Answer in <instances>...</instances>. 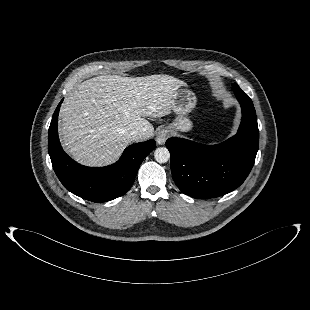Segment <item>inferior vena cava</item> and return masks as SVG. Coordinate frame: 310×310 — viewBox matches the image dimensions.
Returning <instances> with one entry per match:
<instances>
[{"label":"inferior vena cava","instance_id":"1","mask_svg":"<svg viewBox=\"0 0 310 310\" xmlns=\"http://www.w3.org/2000/svg\"><path fill=\"white\" fill-rule=\"evenodd\" d=\"M129 137L132 141H138L143 138V132L139 130L130 131Z\"/></svg>","mask_w":310,"mask_h":310}]
</instances>
